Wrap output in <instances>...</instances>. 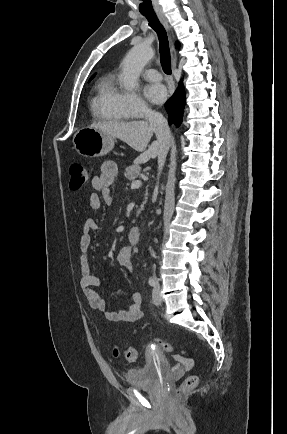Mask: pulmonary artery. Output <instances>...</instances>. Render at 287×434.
Returning a JSON list of instances; mask_svg holds the SVG:
<instances>
[{
  "mask_svg": "<svg viewBox=\"0 0 287 434\" xmlns=\"http://www.w3.org/2000/svg\"><path fill=\"white\" fill-rule=\"evenodd\" d=\"M143 77L151 81L161 80V74L156 69H147L143 72Z\"/></svg>",
  "mask_w": 287,
  "mask_h": 434,
  "instance_id": "obj_1",
  "label": "pulmonary artery"
}]
</instances>
